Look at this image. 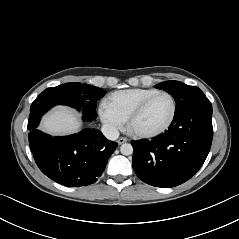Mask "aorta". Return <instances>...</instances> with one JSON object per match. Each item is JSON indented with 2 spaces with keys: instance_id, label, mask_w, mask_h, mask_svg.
Segmentation results:
<instances>
[{
  "instance_id": "aorta-1",
  "label": "aorta",
  "mask_w": 239,
  "mask_h": 239,
  "mask_svg": "<svg viewBox=\"0 0 239 239\" xmlns=\"http://www.w3.org/2000/svg\"><path fill=\"white\" fill-rule=\"evenodd\" d=\"M120 152L123 154V155H131L133 153V147L131 144L129 143H124L121 145L120 147Z\"/></svg>"
}]
</instances>
